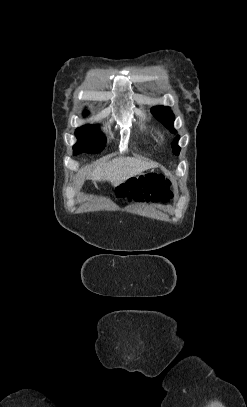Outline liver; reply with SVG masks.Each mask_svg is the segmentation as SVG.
I'll list each match as a JSON object with an SVG mask.
<instances>
[{"instance_id": "obj_1", "label": "liver", "mask_w": 247, "mask_h": 407, "mask_svg": "<svg viewBox=\"0 0 247 407\" xmlns=\"http://www.w3.org/2000/svg\"><path fill=\"white\" fill-rule=\"evenodd\" d=\"M155 166V163L140 158H116L101 166H97L90 175L94 182L109 181L112 185L117 186Z\"/></svg>"}]
</instances>
